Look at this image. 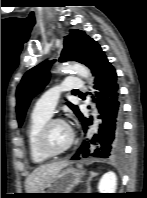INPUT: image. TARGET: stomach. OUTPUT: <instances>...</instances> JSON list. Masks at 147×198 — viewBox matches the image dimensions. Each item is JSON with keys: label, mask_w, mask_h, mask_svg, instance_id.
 I'll return each mask as SVG.
<instances>
[{"label": "stomach", "mask_w": 147, "mask_h": 198, "mask_svg": "<svg viewBox=\"0 0 147 198\" xmlns=\"http://www.w3.org/2000/svg\"><path fill=\"white\" fill-rule=\"evenodd\" d=\"M85 172L71 167L65 168L58 173V175L51 180L40 191L34 194L33 198H54L62 197V194L53 193H69L81 181Z\"/></svg>", "instance_id": "stomach-1"}]
</instances>
